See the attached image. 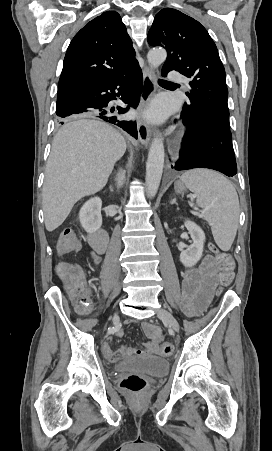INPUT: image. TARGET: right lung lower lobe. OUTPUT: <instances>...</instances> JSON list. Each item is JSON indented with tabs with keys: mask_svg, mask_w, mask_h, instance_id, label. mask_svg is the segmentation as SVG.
<instances>
[{
	"mask_svg": "<svg viewBox=\"0 0 272 451\" xmlns=\"http://www.w3.org/2000/svg\"><path fill=\"white\" fill-rule=\"evenodd\" d=\"M142 88V72L138 62L117 74L112 81L74 88L58 94L56 114L57 122L79 118L102 119L115 124L122 130L137 138V126L134 121H126L112 116L104 110L109 101L120 96L121 100L132 107H137ZM118 90L119 93H116ZM129 107H118V112L125 113ZM114 110H111L113 112Z\"/></svg>",
	"mask_w": 272,
	"mask_h": 451,
	"instance_id": "right-lung-lower-lobe-1",
	"label": "right lung lower lobe"
}]
</instances>
